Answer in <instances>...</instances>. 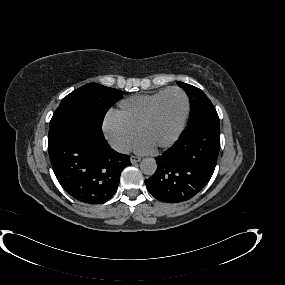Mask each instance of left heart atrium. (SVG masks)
Here are the masks:
<instances>
[{"label": "left heart atrium", "instance_id": "1", "mask_svg": "<svg viewBox=\"0 0 285 285\" xmlns=\"http://www.w3.org/2000/svg\"><path fill=\"white\" fill-rule=\"evenodd\" d=\"M134 149L139 153H150L154 147L150 145L145 139L139 138L135 143Z\"/></svg>", "mask_w": 285, "mask_h": 285}]
</instances>
